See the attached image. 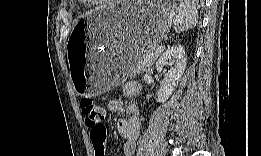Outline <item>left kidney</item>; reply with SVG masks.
Returning <instances> with one entry per match:
<instances>
[{"label":"left kidney","mask_w":261,"mask_h":156,"mask_svg":"<svg viewBox=\"0 0 261 156\" xmlns=\"http://www.w3.org/2000/svg\"><path fill=\"white\" fill-rule=\"evenodd\" d=\"M186 63L185 50L181 45L172 46L158 59L155 68L158 72H163V81L157 92L158 103H164L178 86ZM166 66L169 67L168 70H165Z\"/></svg>","instance_id":"left-kidney-1"}]
</instances>
